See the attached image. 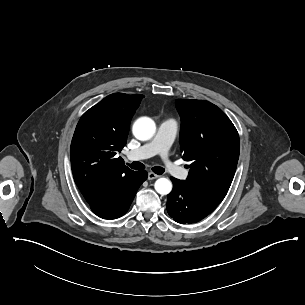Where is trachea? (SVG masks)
Returning <instances> with one entry per match:
<instances>
[{"instance_id": "3493384b", "label": "trachea", "mask_w": 305, "mask_h": 305, "mask_svg": "<svg viewBox=\"0 0 305 305\" xmlns=\"http://www.w3.org/2000/svg\"><path fill=\"white\" fill-rule=\"evenodd\" d=\"M127 165L131 168V169H136V170H141V169H145L146 166L141 163V162H132L131 164ZM151 171H153V173L157 174V175H161L164 172V169L162 167L159 166H155L153 168H151Z\"/></svg>"}]
</instances>
